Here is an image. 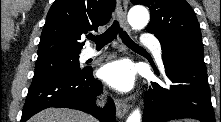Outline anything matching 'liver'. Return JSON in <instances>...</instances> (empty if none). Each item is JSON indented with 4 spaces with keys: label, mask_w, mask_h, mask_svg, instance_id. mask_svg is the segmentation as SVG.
Instances as JSON below:
<instances>
[{
    "label": "liver",
    "mask_w": 221,
    "mask_h": 122,
    "mask_svg": "<svg viewBox=\"0 0 221 122\" xmlns=\"http://www.w3.org/2000/svg\"><path fill=\"white\" fill-rule=\"evenodd\" d=\"M29 122H95V119L78 110L47 108L30 118Z\"/></svg>",
    "instance_id": "1"
}]
</instances>
